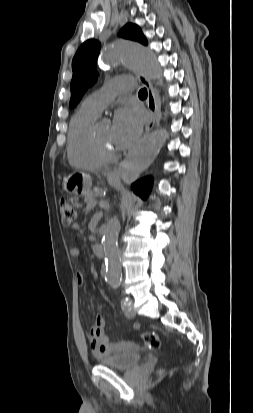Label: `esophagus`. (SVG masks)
Listing matches in <instances>:
<instances>
[{
    "label": "esophagus",
    "instance_id": "esophagus-1",
    "mask_svg": "<svg viewBox=\"0 0 253 413\" xmlns=\"http://www.w3.org/2000/svg\"><path fill=\"white\" fill-rule=\"evenodd\" d=\"M137 78L140 81V83L146 87L147 93H148V95H147V107H148V110H149L150 119H149V121H148V123L145 127V133H148L149 131L152 130V128L155 125L158 104H157L154 88L152 86L151 81L149 79H147L145 76L141 75V74H137ZM122 164L115 167L109 173L110 178H114V179L120 178V175L122 173Z\"/></svg>",
    "mask_w": 253,
    "mask_h": 413
}]
</instances>
